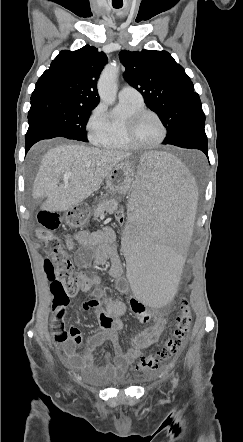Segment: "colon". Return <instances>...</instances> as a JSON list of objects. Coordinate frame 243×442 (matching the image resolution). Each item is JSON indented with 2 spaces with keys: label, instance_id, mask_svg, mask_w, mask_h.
I'll return each instance as SVG.
<instances>
[{
  "label": "colon",
  "instance_id": "5ec220e1",
  "mask_svg": "<svg viewBox=\"0 0 243 442\" xmlns=\"http://www.w3.org/2000/svg\"><path fill=\"white\" fill-rule=\"evenodd\" d=\"M116 224L124 226L126 221L125 213L117 214ZM38 227L36 234L40 242L45 245L48 258L44 262V270L50 281V290L53 295V309L61 307L67 308L71 297L78 293L89 291L95 284L94 278L86 275L82 271L75 270L68 250L64 247L62 240L55 234L60 225V217L56 212L42 210L38 214ZM68 242V246H71ZM181 311L177 316L168 337L162 345L142 356L134 365L136 373L153 371L158 366L176 354L181 346L192 323L191 300H180Z\"/></svg>",
  "mask_w": 243,
  "mask_h": 442
}]
</instances>
